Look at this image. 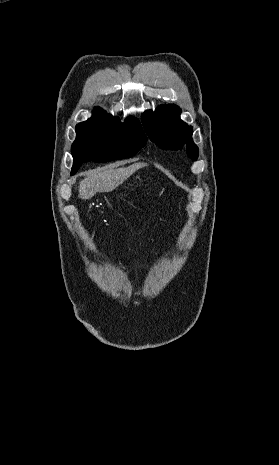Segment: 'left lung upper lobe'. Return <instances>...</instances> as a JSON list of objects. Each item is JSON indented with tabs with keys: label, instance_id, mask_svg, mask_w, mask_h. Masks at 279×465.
Returning <instances> with one entry per match:
<instances>
[{
	"label": "left lung upper lobe",
	"instance_id": "5c2ea615",
	"mask_svg": "<svg viewBox=\"0 0 279 465\" xmlns=\"http://www.w3.org/2000/svg\"><path fill=\"white\" fill-rule=\"evenodd\" d=\"M181 109L176 105H162L155 112L143 115V124L150 139L162 148L182 149L186 145L188 155L196 160L198 147L192 140V127L180 119Z\"/></svg>",
	"mask_w": 279,
	"mask_h": 465
}]
</instances>
